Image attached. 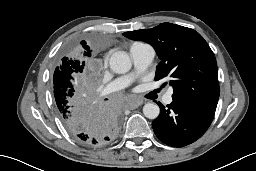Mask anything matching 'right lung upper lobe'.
Wrapping results in <instances>:
<instances>
[{
  "label": "right lung upper lobe",
  "instance_id": "1",
  "mask_svg": "<svg viewBox=\"0 0 256 171\" xmlns=\"http://www.w3.org/2000/svg\"><path fill=\"white\" fill-rule=\"evenodd\" d=\"M81 44L83 45V47H84V49L86 50L85 52H84V55H86V56H90L91 55V53H90V51H89V46L88 45H86V42L85 41H82L81 42ZM58 107V112H59V114H61V112H63V111H66V110H68L69 108V105L68 104H66V105H64V103H60L59 104V106H57ZM59 108H60V111H59ZM68 108V109H67ZM66 113V112H65ZM66 118V117H65Z\"/></svg>",
  "mask_w": 256,
  "mask_h": 171
}]
</instances>
